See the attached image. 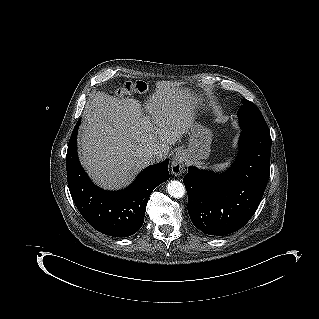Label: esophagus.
I'll use <instances>...</instances> for the list:
<instances>
[{
    "label": "esophagus",
    "mask_w": 319,
    "mask_h": 319,
    "mask_svg": "<svg viewBox=\"0 0 319 319\" xmlns=\"http://www.w3.org/2000/svg\"><path fill=\"white\" fill-rule=\"evenodd\" d=\"M184 167H185L184 155L181 151H177L172 157V161L170 165L171 173L175 176H179L183 172Z\"/></svg>",
    "instance_id": "1"
}]
</instances>
